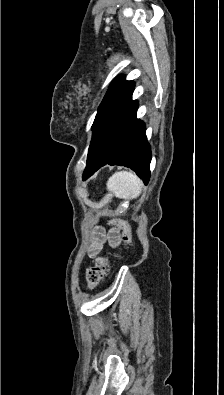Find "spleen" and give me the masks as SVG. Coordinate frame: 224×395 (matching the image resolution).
I'll list each match as a JSON object with an SVG mask.
<instances>
[{"label": "spleen", "mask_w": 224, "mask_h": 395, "mask_svg": "<svg viewBox=\"0 0 224 395\" xmlns=\"http://www.w3.org/2000/svg\"><path fill=\"white\" fill-rule=\"evenodd\" d=\"M142 187V181L132 171L116 172L107 181V190L120 199L137 198Z\"/></svg>", "instance_id": "1"}]
</instances>
